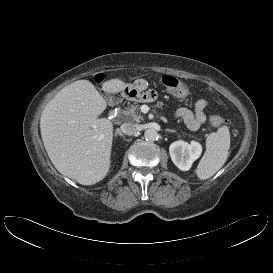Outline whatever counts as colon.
Segmentation results:
<instances>
[{
  "label": "colon",
  "mask_w": 273,
  "mask_h": 273,
  "mask_svg": "<svg viewBox=\"0 0 273 273\" xmlns=\"http://www.w3.org/2000/svg\"><path fill=\"white\" fill-rule=\"evenodd\" d=\"M104 79L103 75H98L97 80L102 81ZM163 84L174 94L178 96H184L188 92V88L186 84L178 80L177 78L173 76H164L162 78ZM209 123L214 126L218 127L221 125H224L226 123V120L220 116L212 115L209 117Z\"/></svg>",
  "instance_id": "colon-1"
}]
</instances>
